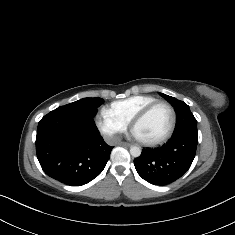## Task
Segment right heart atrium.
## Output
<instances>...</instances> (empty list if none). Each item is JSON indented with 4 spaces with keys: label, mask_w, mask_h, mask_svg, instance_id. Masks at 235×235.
<instances>
[{
    "label": "right heart atrium",
    "mask_w": 235,
    "mask_h": 235,
    "mask_svg": "<svg viewBox=\"0 0 235 235\" xmlns=\"http://www.w3.org/2000/svg\"><path fill=\"white\" fill-rule=\"evenodd\" d=\"M94 119L100 132L113 143L118 142L120 135L127 129V125L117 118L109 107L104 105L98 109Z\"/></svg>",
    "instance_id": "d8ad5b80"
}]
</instances>
